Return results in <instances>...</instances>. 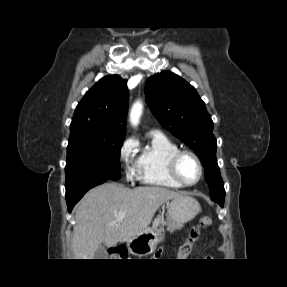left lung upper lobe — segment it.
<instances>
[{
	"label": "left lung upper lobe",
	"instance_id": "1",
	"mask_svg": "<svg viewBox=\"0 0 287 287\" xmlns=\"http://www.w3.org/2000/svg\"><path fill=\"white\" fill-rule=\"evenodd\" d=\"M145 95L161 125L198 154L205 168L211 199L224 202L213 121L195 88L178 75L165 71L148 78Z\"/></svg>",
	"mask_w": 287,
	"mask_h": 287
}]
</instances>
